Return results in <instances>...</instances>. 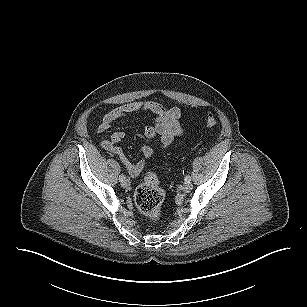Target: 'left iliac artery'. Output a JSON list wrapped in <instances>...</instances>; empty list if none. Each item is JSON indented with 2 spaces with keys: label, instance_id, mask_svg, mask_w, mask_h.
Masks as SVG:
<instances>
[{
  "label": "left iliac artery",
  "instance_id": "1",
  "mask_svg": "<svg viewBox=\"0 0 307 307\" xmlns=\"http://www.w3.org/2000/svg\"><path fill=\"white\" fill-rule=\"evenodd\" d=\"M185 181H191V177L188 175L185 177Z\"/></svg>",
  "mask_w": 307,
  "mask_h": 307
}]
</instances>
